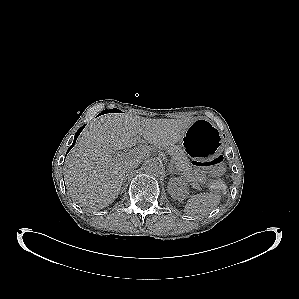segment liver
<instances>
[{
	"label": "liver",
	"instance_id": "6515ba94",
	"mask_svg": "<svg viewBox=\"0 0 299 299\" xmlns=\"http://www.w3.org/2000/svg\"><path fill=\"white\" fill-rule=\"evenodd\" d=\"M189 119H150L130 114H106L82 133L65 161L69 195L81 206L102 209L118 196L132 161L139 163L155 148H166L183 138ZM141 136L151 147H135L131 154L117 151L138 145Z\"/></svg>",
	"mask_w": 299,
	"mask_h": 299
}]
</instances>
